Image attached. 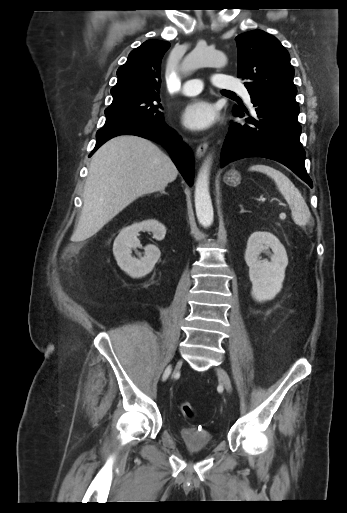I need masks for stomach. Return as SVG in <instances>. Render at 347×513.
Segmentation results:
<instances>
[{
	"label": "stomach",
	"mask_w": 347,
	"mask_h": 513,
	"mask_svg": "<svg viewBox=\"0 0 347 513\" xmlns=\"http://www.w3.org/2000/svg\"><path fill=\"white\" fill-rule=\"evenodd\" d=\"M224 179L227 184L237 185L240 183L241 177L239 172H237L236 170H230L229 172H227Z\"/></svg>",
	"instance_id": "stomach-1"
}]
</instances>
